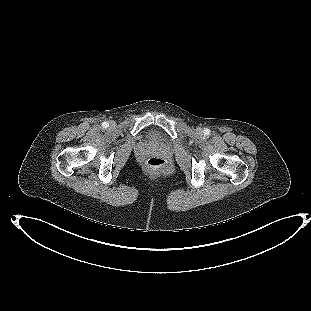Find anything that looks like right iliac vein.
Listing matches in <instances>:
<instances>
[{"instance_id":"right-iliac-vein-1","label":"right iliac vein","mask_w":311,"mask_h":311,"mask_svg":"<svg viewBox=\"0 0 311 311\" xmlns=\"http://www.w3.org/2000/svg\"><path fill=\"white\" fill-rule=\"evenodd\" d=\"M115 123L113 121L110 122V127H114Z\"/></svg>"}]
</instances>
